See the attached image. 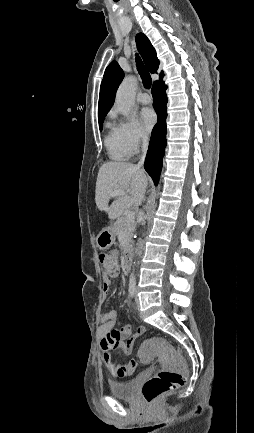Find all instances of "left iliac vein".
<instances>
[{
  "label": "left iliac vein",
  "instance_id": "4c4485c4",
  "mask_svg": "<svg viewBox=\"0 0 254 433\" xmlns=\"http://www.w3.org/2000/svg\"><path fill=\"white\" fill-rule=\"evenodd\" d=\"M134 298H135V302H136V305H137V307H138V297H137V291H135V294H134Z\"/></svg>",
  "mask_w": 254,
  "mask_h": 433
}]
</instances>
